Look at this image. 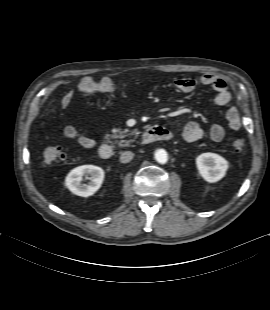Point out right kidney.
I'll return each mask as SVG.
<instances>
[{"mask_svg":"<svg viewBox=\"0 0 270 310\" xmlns=\"http://www.w3.org/2000/svg\"><path fill=\"white\" fill-rule=\"evenodd\" d=\"M90 175V182L82 184V177ZM104 171L94 165H83L72 169L65 178V186L75 195L81 197L92 196L102 185Z\"/></svg>","mask_w":270,"mask_h":310,"instance_id":"ca27d5eb","label":"right kidney"}]
</instances>
